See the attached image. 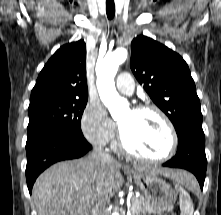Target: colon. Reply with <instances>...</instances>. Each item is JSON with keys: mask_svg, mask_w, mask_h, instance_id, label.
Segmentation results:
<instances>
[{"mask_svg": "<svg viewBox=\"0 0 221 215\" xmlns=\"http://www.w3.org/2000/svg\"><path fill=\"white\" fill-rule=\"evenodd\" d=\"M161 215H167V214H161ZM170 215H173V214H170Z\"/></svg>", "mask_w": 221, "mask_h": 215, "instance_id": "colon-1", "label": "colon"}]
</instances>
